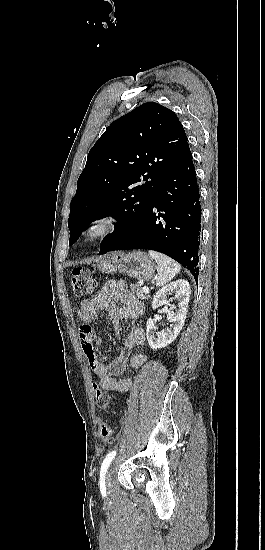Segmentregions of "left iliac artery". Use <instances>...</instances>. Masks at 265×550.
<instances>
[{
  "instance_id": "44dca946",
  "label": "left iliac artery",
  "mask_w": 265,
  "mask_h": 550,
  "mask_svg": "<svg viewBox=\"0 0 265 550\" xmlns=\"http://www.w3.org/2000/svg\"><path fill=\"white\" fill-rule=\"evenodd\" d=\"M115 455H116V450L111 451V452L108 453V455L104 459V461L101 465V470H100V482L101 483L105 482L106 472H107L112 460L114 459Z\"/></svg>"
}]
</instances>
